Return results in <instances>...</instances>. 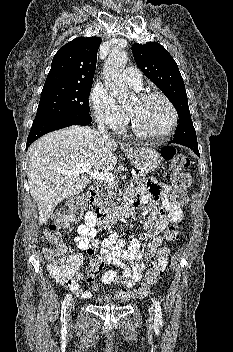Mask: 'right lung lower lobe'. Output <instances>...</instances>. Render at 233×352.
Returning <instances> with one entry per match:
<instances>
[{"instance_id":"98d812e1","label":"right lung lower lobe","mask_w":233,"mask_h":352,"mask_svg":"<svg viewBox=\"0 0 233 352\" xmlns=\"http://www.w3.org/2000/svg\"><path fill=\"white\" fill-rule=\"evenodd\" d=\"M92 122V118L90 116H68L61 118H54L50 120H46L39 123H34L28 135L26 150L27 148L37 140L39 137L43 136L46 133L51 131H55L70 125H82L86 126Z\"/></svg>"}]
</instances>
